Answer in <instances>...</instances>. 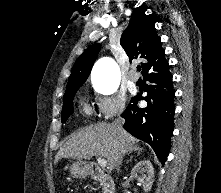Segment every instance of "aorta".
<instances>
[{"label": "aorta", "mask_w": 221, "mask_h": 193, "mask_svg": "<svg viewBox=\"0 0 221 193\" xmlns=\"http://www.w3.org/2000/svg\"><path fill=\"white\" fill-rule=\"evenodd\" d=\"M96 89L106 95L113 94L119 85V68L111 58H102L94 66Z\"/></svg>", "instance_id": "762f6f07"}]
</instances>
